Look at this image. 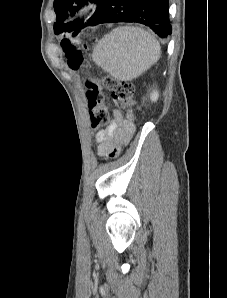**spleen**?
Returning a JSON list of instances; mask_svg holds the SVG:
<instances>
[{
    "mask_svg": "<svg viewBox=\"0 0 227 298\" xmlns=\"http://www.w3.org/2000/svg\"><path fill=\"white\" fill-rule=\"evenodd\" d=\"M160 55V43L152 34L139 27L121 26L99 41L92 59L114 78L130 81L149 69Z\"/></svg>",
    "mask_w": 227,
    "mask_h": 298,
    "instance_id": "obj_1",
    "label": "spleen"
}]
</instances>
